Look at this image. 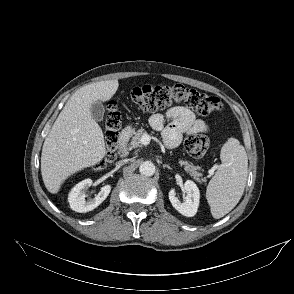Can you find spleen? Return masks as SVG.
Returning a JSON list of instances; mask_svg holds the SVG:
<instances>
[{
	"mask_svg": "<svg viewBox=\"0 0 294 294\" xmlns=\"http://www.w3.org/2000/svg\"><path fill=\"white\" fill-rule=\"evenodd\" d=\"M220 158L222 164L206 190L215 219L223 217L237 205L243 195L248 172L247 154L237 139H228L221 149Z\"/></svg>",
	"mask_w": 294,
	"mask_h": 294,
	"instance_id": "1",
	"label": "spleen"
}]
</instances>
